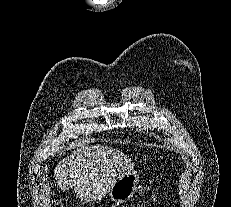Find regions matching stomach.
Returning <instances> with one entry per match:
<instances>
[{
    "mask_svg": "<svg viewBox=\"0 0 231 207\" xmlns=\"http://www.w3.org/2000/svg\"><path fill=\"white\" fill-rule=\"evenodd\" d=\"M139 175L135 172H127L116 180L108 192L110 199L116 203L130 200L137 190Z\"/></svg>",
    "mask_w": 231,
    "mask_h": 207,
    "instance_id": "1",
    "label": "stomach"
}]
</instances>
